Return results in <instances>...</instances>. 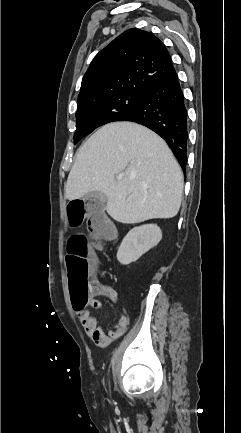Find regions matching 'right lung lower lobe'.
Masks as SVG:
<instances>
[{
    "label": "right lung lower lobe",
    "instance_id": "obj_1",
    "mask_svg": "<svg viewBox=\"0 0 241 433\" xmlns=\"http://www.w3.org/2000/svg\"><path fill=\"white\" fill-rule=\"evenodd\" d=\"M119 121L142 124L161 136L182 169L187 163L188 120L183 92L175 73L148 86L141 104Z\"/></svg>",
    "mask_w": 241,
    "mask_h": 433
}]
</instances>
